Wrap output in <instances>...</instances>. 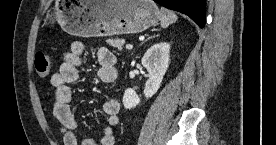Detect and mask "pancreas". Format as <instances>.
Here are the masks:
<instances>
[{
	"instance_id": "1",
	"label": "pancreas",
	"mask_w": 276,
	"mask_h": 145,
	"mask_svg": "<svg viewBox=\"0 0 276 145\" xmlns=\"http://www.w3.org/2000/svg\"><path fill=\"white\" fill-rule=\"evenodd\" d=\"M106 43L112 47H114L116 50L121 51L123 49V45L125 43L124 39L119 38H109L106 40Z\"/></svg>"
}]
</instances>
